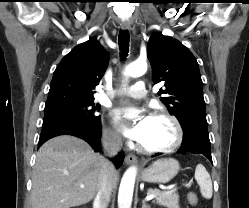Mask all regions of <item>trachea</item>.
I'll list each match as a JSON object with an SVG mask.
<instances>
[{"label": "trachea", "mask_w": 249, "mask_h": 208, "mask_svg": "<svg viewBox=\"0 0 249 208\" xmlns=\"http://www.w3.org/2000/svg\"><path fill=\"white\" fill-rule=\"evenodd\" d=\"M129 40H130L129 32L127 30H121L118 36V43H119L122 60H124L128 55Z\"/></svg>", "instance_id": "trachea-1"}]
</instances>
